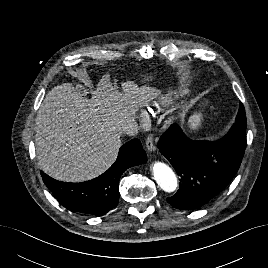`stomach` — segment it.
<instances>
[{
    "instance_id": "1",
    "label": "stomach",
    "mask_w": 268,
    "mask_h": 268,
    "mask_svg": "<svg viewBox=\"0 0 268 268\" xmlns=\"http://www.w3.org/2000/svg\"><path fill=\"white\" fill-rule=\"evenodd\" d=\"M149 79L145 76L144 81H148ZM202 121L201 113H194L188 119V125L191 129H197Z\"/></svg>"
}]
</instances>
